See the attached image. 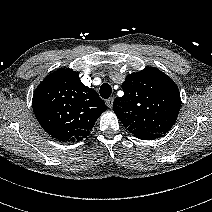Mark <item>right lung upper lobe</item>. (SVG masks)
I'll return each mask as SVG.
<instances>
[{"label":"right lung upper lobe","instance_id":"cb5924a9","mask_svg":"<svg viewBox=\"0 0 212 212\" xmlns=\"http://www.w3.org/2000/svg\"><path fill=\"white\" fill-rule=\"evenodd\" d=\"M32 106L41 127L62 142L86 138L106 110L97 92L84 86L78 73L69 68L56 70L38 85Z\"/></svg>","mask_w":212,"mask_h":212}]
</instances>
